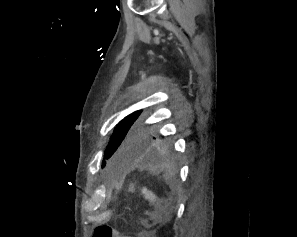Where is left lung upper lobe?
<instances>
[{"instance_id":"1","label":"left lung upper lobe","mask_w":297,"mask_h":237,"mask_svg":"<svg viewBox=\"0 0 297 237\" xmlns=\"http://www.w3.org/2000/svg\"><path fill=\"white\" fill-rule=\"evenodd\" d=\"M141 110L135 111L121 120L114 130L108 147L105 151L104 158L109 159L112 156L120 159H133L141 157L148 153L153 145V140L145 131L136 129L139 122ZM106 164L102 163V167Z\"/></svg>"}]
</instances>
